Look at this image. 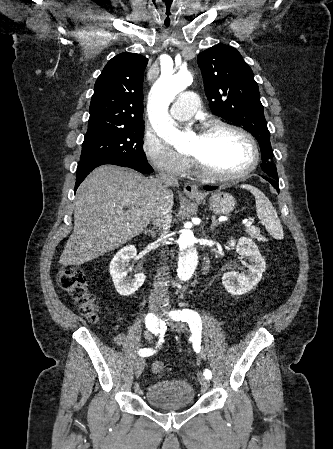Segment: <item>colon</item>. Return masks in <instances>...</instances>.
<instances>
[{
	"label": "colon",
	"mask_w": 333,
	"mask_h": 449,
	"mask_svg": "<svg viewBox=\"0 0 333 449\" xmlns=\"http://www.w3.org/2000/svg\"><path fill=\"white\" fill-rule=\"evenodd\" d=\"M57 282L60 288L70 295L84 316L92 321L97 320L99 309L94 295L87 288V279L83 271L73 267H62L58 272ZM152 371L156 374L163 373L165 364L160 361L154 362Z\"/></svg>",
	"instance_id": "5ec220e1"
}]
</instances>
